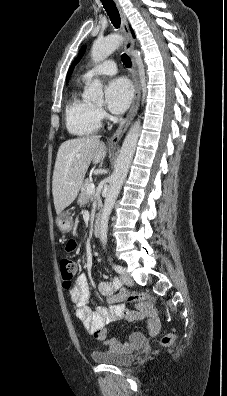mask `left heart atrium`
I'll list each match as a JSON object with an SVG mask.
<instances>
[{
    "label": "left heart atrium",
    "mask_w": 227,
    "mask_h": 396,
    "mask_svg": "<svg viewBox=\"0 0 227 396\" xmlns=\"http://www.w3.org/2000/svg\"><path fill=\"white\" fill-rule=\"evenodd\" d=\"M133 96L130 82L125 78H116L109 82L106 88V104L113 113L124 112Z\"/></svg>",
    "instance_id": "1"
}]
</instances>
